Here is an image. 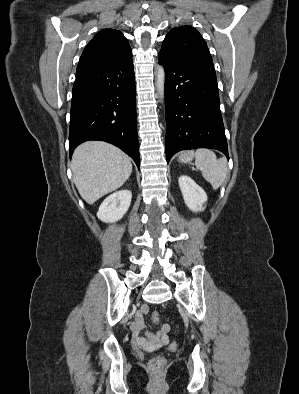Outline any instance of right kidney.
Returning <instances> with one entry per match:
<instances>
[{
	"mask_svg": "<svg viewBox=\"0 0 299 394\" xmlns=\"http://www.w3.org/2000/svg\"><path fill=\"white\" fill-rule=\"evenodd\" d=\"M132 193L129 190H120L109 195L100 205L97 217L106 223L120 220L128 211Z\"/></svg>",
	"mask_w": 299,
	"mask_h": 394,
	"instance_id": "right-kidney-1",
	"label": "right kidney"
}]
</instances>
